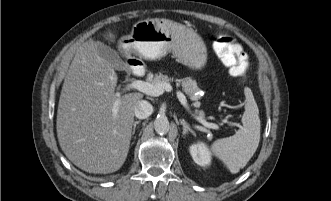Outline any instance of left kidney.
Here are the masks:
<instances>
[{
	"label": "left kidney",
	"mask_w": 331,
	"mask_h": 201,
	"mask_svg": "<svg viewBox=\"0 0 331 201\" xmlns=\"http://www.w3.org/2000/svg\"><path fill=\"white\" fill-rule=\"evenodd\" d=\"M190 154L194 162L200 166H208L211 163V153L202 142L191 145Z\"/></svg>",
	"instance_id": "left-kidney-1"
}]
</instances>
